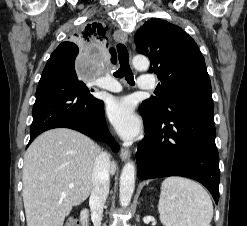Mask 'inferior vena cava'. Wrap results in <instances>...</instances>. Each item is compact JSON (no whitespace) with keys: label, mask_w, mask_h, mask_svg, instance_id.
<instances>
[{"label":"inferior vena cava","mask_w":247,"mask_h":226,"mask_svg":"<svg viewBox=\"0 0 247 226\" xmlns=\"http://www.w3.org/2000/svg\"><path fill=\"white\" fill-rule=\"evenodd\" d=\"M110 156L101 152L95 160L92 173V191L89 200L91 219L94 226H100L103 207L109 193Z\"/></svg>","instance_id":"obj_1"}]
</instances>
